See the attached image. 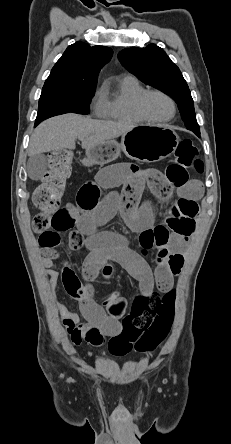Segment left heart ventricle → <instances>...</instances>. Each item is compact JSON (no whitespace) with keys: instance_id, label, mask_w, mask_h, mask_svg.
I'll use <instances>...</instances> for the list:
<instances>
[{"instance_id":"obj_1","label":"left heart ventricle","mask_w":231,"mask_h":444,"mask_svg":"<svg viewBox=\"0 0 231 444\" xmlns=\"http://www.w3.org/2000/svg\"><path fill=\"white\" fill-rule=\"evenodd\" d=\"M145 110L155 119H166L172 114V105L165 97L152 94L145 101Z\"/></svg>"}]
</instances>
